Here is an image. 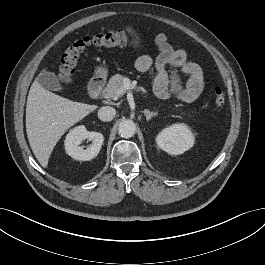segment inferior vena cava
<instances>
[{
	"mask_svg": "<svg viewBox=\"0 0 265 265\" xmlns=\"http://www.w3.org/2000/svg\"><path fill=\"white\" fill-rule=\"evenodd\" d=\"M115 115H116V110L110 106L101 107L98 110V118L104 122L111 121L115 117Z\"/></svg>",
	"mask_w": 265,
	"mask_h": 265,
	"instance_id": "inferior-vena-cava-1",
	"label": "inferior vena cava"
}]
</instances>
